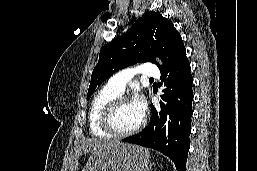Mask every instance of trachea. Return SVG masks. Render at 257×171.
I'll return each instance as SVG.
<instances>
[{
    "mask_svg": "<svg viewBox=\"0 0 257 171\" xmlns=\"http://www.w3.org/2000/svg\"><path fill=\"white\" fill-rule=\"evenodd\" d=\"M149 80H150V81H153L154 79H153V78H150Z\"/></svg>",
    "mask_w": 257,
    "mask_h": 171,
    "instance_id": "3493384b",
    "label": "trachea"
}]
</instances>
